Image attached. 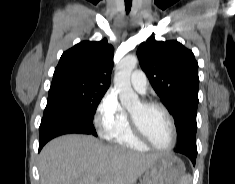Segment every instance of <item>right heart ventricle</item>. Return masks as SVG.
<instances>
[{"mask_svg": "<svg viewBox=\"0 0 235 184\" xmlns=\"http://www.w3.org/2000/svg\"><path fill=\"white\" fill-rule=\"evenodd\" d=\"M112 148L115 152L125 149L129 151H146L147 145L138 140L127 122L114 138Z\"/></svg>", "mask_w": 235, "mask_h": 184, "instance_id": "obj_1", "label": "right heart ventricle"}]
</instances>
